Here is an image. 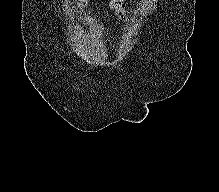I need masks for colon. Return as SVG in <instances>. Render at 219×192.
Segmentation results:
<instances>
[{
	"instance_id": "1",
	"label": "colon",
	"mask_w": 219,
	"mask_h": 192,
	"mask_svg": "<svg viewBox=\"0 0 219 192\" xmlns=\"http://www.w3.org/2000/svg\"><path fill=\"white\" fill-rule=\"evenodd\" d=\"M81 4H86L87 0H79Z\"/></svg>"
}]
</instances>
